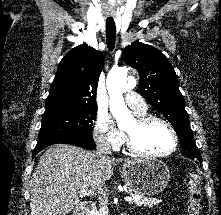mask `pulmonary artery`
I'll return each instance as SVG.
<instances>
[{
  "label": "pulmonary artery",
  "instance_id": "1",
  "mask_svg": "<svg viewBox=\"0 0 221 215\" xmlns=\"http://www.w3.org/2000/svg\"><path fill=\"white\" fill-rule=\"evenodd\" d=\"M125 101L136 114H143L147 110V105L144 99L134 91L127 92Z\"/></svg>",
  "mask_w": 221,
  "mask_h": 215
}]
</instances>
